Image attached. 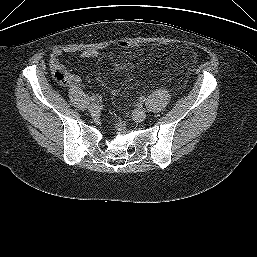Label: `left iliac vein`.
Returning <instances> with one entry per match:
<instances>
[{
	"instance_id": "1",
	"label": "left iliac vein",
	"mask_w": 257,
	"mask_h": 257,
	"mask_svg": "<svg viewBox=\"0 0 257 257\" xmlns=\"http://www.w3.org/2000/svg\"><path fill=\"white\" fill-rule=\"evenodd\" d=\"M146 111L144 109H136L134 110L133 112V119L136 121V122H142L146 119Z\"/></svg>"
}]
</instances>
